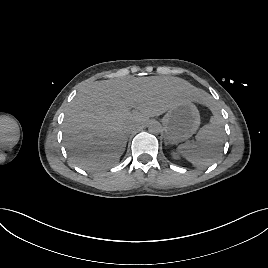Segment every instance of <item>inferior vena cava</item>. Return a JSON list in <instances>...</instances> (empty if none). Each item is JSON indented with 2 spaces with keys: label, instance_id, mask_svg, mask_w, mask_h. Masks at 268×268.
<instances>
[{
  "label": "inferior vena cava",
  "instance_id": "obj_1",
  "mask_svg": "<svg viewBox=\"0 0 268 268\" xmlns=\"http://www.w3.org/2000/svg\"><path fill=\"white\" fill-rule=\"evenodd\" d=\"M135 128H136V127L129 126V127L127 128V132H132V131L135 130Z\"/></svg>",
  "mask_w": 268,
  "mask_h": 268
}]
</instances>
